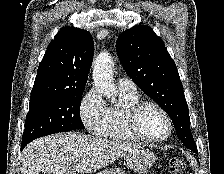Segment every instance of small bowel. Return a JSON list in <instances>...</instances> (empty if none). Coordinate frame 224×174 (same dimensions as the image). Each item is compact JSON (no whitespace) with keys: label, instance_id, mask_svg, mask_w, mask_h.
<instances>
[{"label":"small bowel","instance_id":"obj_1","mask_svg":"<svg viewBox=\"0 0 224 174\" xmlns=\"http://www.w3.org/2000/svg\"><path fill=\"white\" fill-rule=\"evenodd\" d=\"M115 174H123V173H120V172H116Z\"/></svg>","mask_w":224,"mask_h":174}]
</instances>
